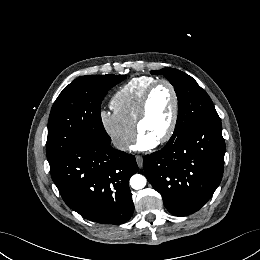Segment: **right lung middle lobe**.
Masks as SVG:
<instances>
[{
	"mask_svg": "<svg viewBox=\"0 0 260 260\" xmlns=\"http://www.w3.org/2000/svg\"><path fill=\"white\" fill-rule=\"evenodd\" d=\"M124 75H89L75 79L54 102L48 121L47 159L53 162L82 143L110 145L101 120V101Z\"/></svg>",
	"mask_w": 260,
	"mask_h": 260,
	"instance_id": "1",
	"label": "right lung middle lobe"
}]
</instances>
